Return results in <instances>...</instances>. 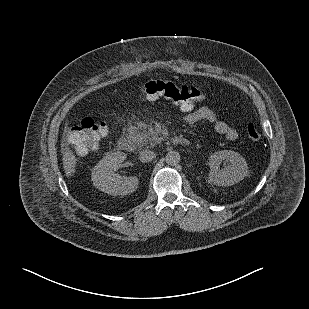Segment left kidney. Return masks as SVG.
<instances>
[{
	"instance_id": "left-kidney-1",
	"label": "left kidney",
	"mask_w": 309,
	"mask_h": 309,
	"mask_svg": "<svg viewBox=\"0 0 309 309\" xmlns=\"http://www.w3.org/2000/svg\"><path fill=\"white\" fill-rule=\"evenodd\" d=\"M224 163V168L220 165ZM210 172L208 180L217 186H231L240 182L248 174L245 158L238 152L222 150L215 152L209 159Z\"/></svg>"
}]
</instances>
